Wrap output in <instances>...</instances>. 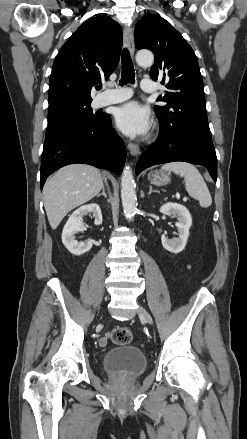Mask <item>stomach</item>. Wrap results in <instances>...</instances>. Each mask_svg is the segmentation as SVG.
I'll list each match as a JSON object with an SVG mask.
<instances>
[{"label": "stomach", "instance_id": "0dacf381", "mask_svg": "<svg viewBox=\"0 0 247 439\" xmlns=\"http://www.w3.org/2000/svg\"><path fill=\"white\" fill-rule=\"evenodd\" d=\"M149 179L152 184L157 186H164L170 182L169 174L162 171H155L150 173Z\"/></svg>", "mask_w": 247, "mask_h": 439}]
</instances>
